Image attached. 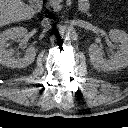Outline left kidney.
I'll return each instance as SVG.
<instances>
[{"instance_id": "obj_1", "label": "left kidney", "mask_w": 128, "mask_h": 128, "mask_svg": "<svg viewBox=\"0 0 128 128\" xmlns=\"http://www.w3.org/2000/svg\"><path fill=\"white\" fill-rule=\"evenodd\" d=\"M109 37L114 43H120V50L109 59L104 58L103 50L95 43L89 46V57L97 70L113 71L128 66V34L125 31L111 29Z\"/></svg>"}]
</instances>
